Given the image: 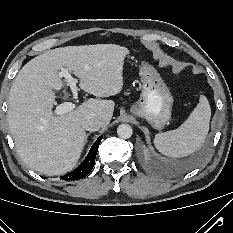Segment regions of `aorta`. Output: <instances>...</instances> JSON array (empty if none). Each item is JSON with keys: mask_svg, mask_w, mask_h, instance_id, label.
<instances>
[{"mask_svg": "<svg viewBox=\"0 0 233 233\" xmlns=\"http://www.w3.org/2000/svg\"><path fill=\"white\" fill-rule=\"evenodd\" d=\"M132 127L128 124H121L117 128V134L120 138L128 139L132 136Z\"/></svg>", "mask_w": 233, "mask_h": 233, "instance_id": "obj_1", "label": "aorta"}]
</instances>
